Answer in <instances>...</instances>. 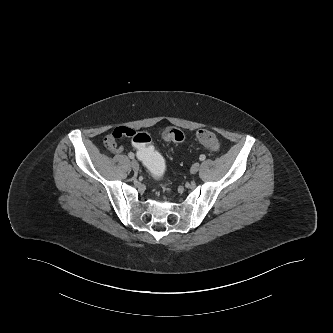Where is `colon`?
I'll use <instances>...</instances> for the list:
<instances>
[{"instance_id":"colon-1","label":"colon","mask_w":333,"mask_h":333,"mask_svg":"<svg viewBox=\"0 0 333 333\" xmlns=\"http://www.w3.org/2000/svg\"><path fill=\"white\" fill-rule=\"evenodd\" d=\"M136 132V131H135ZM162 138L166 141L181 143L185 140L183 131L177 128H168L162 132ZM199 142L210 150H218L220 142L218 137L209 130H201L197 134ZM135 148V155L150 174L155 183H160L165 178L166 163L160 157L158 149L151 144V137L145 132H136V138L132 141Z\"/></svg>"}]
</instances>
